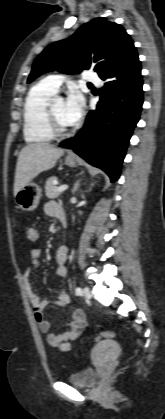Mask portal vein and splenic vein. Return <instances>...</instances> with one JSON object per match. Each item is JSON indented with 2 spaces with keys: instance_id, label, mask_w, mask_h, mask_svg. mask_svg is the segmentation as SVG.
<instances>
[{
  "instance_id": "obj_1",
  "label": "portal vein and splenic vein",
  "mask_w": 165,
  "mask_h": 419,
  "mask_svg": "<svg viewBox=\"0 0 165 419\" xmlns=\"http://www.w3.org/2000/svg\"><path fill=\"white\" fill-rule=\"evenodd\" d=\"M68 189V185L64 184L58 187L59 192H63Z\"/></svg>"
}]
</instances>
